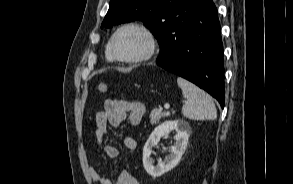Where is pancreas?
<instances>
[{
  "instance_id": "obj_1",
  "label": "pancreas",
  "mask_w": 293,
  "mask_h": 184,
  "mask_svg": "<svg viewBox=\"0 0 293 184\" xmlns=\"http://www.w3.org/2000/svg\"><path fill=\"white\" fill-rule=\"evenodd\" d=\"M169 115V112H163L162 109H153L150 113V122L151 124H157L162 117H167Z\"/></svg>"
}]
</instances>
